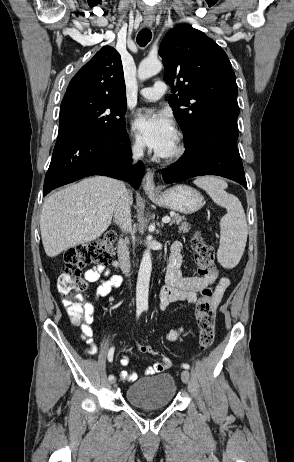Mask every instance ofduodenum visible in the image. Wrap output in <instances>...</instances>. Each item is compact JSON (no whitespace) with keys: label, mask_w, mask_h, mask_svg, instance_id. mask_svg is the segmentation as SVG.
<instances>
[{"label":"duodenum","mask_w":294,"mask_h":462,"mask_svg":"<svg viewBox=\"0 0 294 462\" xmlns=\"http://www.w3.org/2000/svg\"><path fill=\"white\" fill-rule=\"evenodd\" d=\"M118 259L119 268L123 272L128 273L130 270L129 250L124 239L118 242Z\"/></svg>","instance_id":"duodenum-1"}]
</instances>
